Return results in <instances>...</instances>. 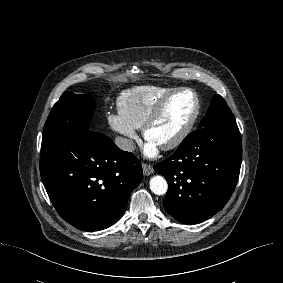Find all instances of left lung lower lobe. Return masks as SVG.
I'll use <instances>...</instances> for the list:
<instances>
[{"label": "left lung lower lobe", "instance_id": "obj_1", "mask_svg": "<svg viewBox=\"0 0 283 283\" xmlns=\"http://www.w3.org/2000/svg\"><path fill=\"white\" fill-rule=\"evenodd\" d=\"M242 144L236 123L189 134L166 160L154 165L168 182L165 210L179 222L196 224L219 212L236 186Z\"/></svg>", "mask_w": 283, "mask_h": 283}]
</instances>
